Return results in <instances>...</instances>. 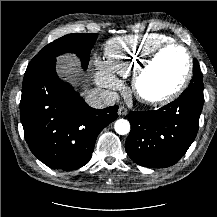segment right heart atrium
Instances as JSON below:
<instances>
[{
	"instance_id": "obj_1",
	"label": "right heart atrium",
	"mask_w": 217,
	"mask_h": 217,
	"mask_svg": "<svg viewBox=\"0 0 217 217\" xmlns=\"http://www.w3.org/2000/svg\"><path fill=\"white\" fill-rule=\"evenodd\" d=\"M94 64L97 68L94 79L99 86L110 90H115L120 86V81L111 74L104 61L96 56Z\"/></svg>"
}]
</instances>
